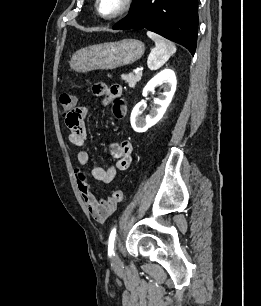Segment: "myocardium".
Listing matches in <instances>:
<instances>
[{"label": "myocardium", "mask_w": 261, "mask_h": 306, "mask_svg": "<svg viewBox=\"0 0 261 306\" xmlns=\"http://www.w3.org/2000/svg\"><path fill=\"white\" fill-rule=\"evenodd\" d=\"M100 2L101 0H95V10L97 12V14L106 20H113V19H117L121 16H123L125 13H127L130 8L133 5L134 0H122L121 1V5L120 7L112 14H104L102 13L101 9H100Z\"/></svg>", "instance_id": "obj_1"}]
</instances>
